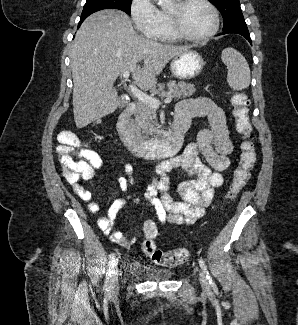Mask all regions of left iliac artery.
Returning <instances> with one entry per match:
<instances>
[{
	"label": "left iliac artery",
	"instance_id": "left-iliac-artery-1",
	"mask_svg": "<svg viewBox=\"0 0 298 325\" xmlns=\"http://www.w3.org/2000/svg\"><path fill=\"white\" fill-rule=\"evenodd\" d=\"M199 265H200L201 269L204 271L210 285L212 287H214L215 283L213 282L212 277L210 276L209 271L207 270V266L205 264V261L202 258H199Z\"/></svg>",
	"mask_w": 298,
	"mask_h": 325
}]
</instances>
